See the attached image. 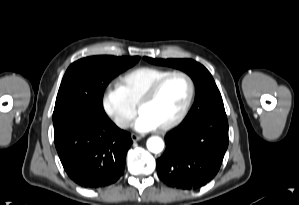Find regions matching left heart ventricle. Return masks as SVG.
<instances>
[{
	"label": "left heart ventricle",
	"mask_w": 299,
	"mask_h": 205,
	"mask_svg": "<svg viewBox=\"0 0 299 205\" xmlns=\"http://www.w3.org/2000/svg\"><path fill=\"white\" fill-rule=\"evenodd\" d=\"M189 93L187 81L180 76L167 80L154 99L140 113L152 119L157 127L174 119L182 110Z\"/></svg>",
	"instance_id": "left-heart-ventricle-1"
}]
</instances>
